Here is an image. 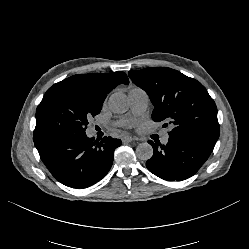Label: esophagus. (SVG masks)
Wrapping results in <instances>:
<instances>
[{"mask_svg": "<svg viewBox=\"0 0 249 249\" xmlns=\"http://www.w3.org/2000/svg\"><path fill=\"white\" fill-rule=\"evenodd\" d=\"M134 140V138L131 135H125L122 137V141L126 143H130Z\"/></svg>", "mask_w": 249, "mask_h": 249, "instance_id": "1", "label": "esophagus"}]
</instances>
